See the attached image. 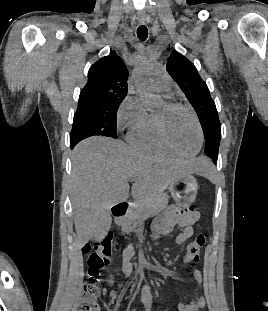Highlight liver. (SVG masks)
Returning <instances> with one entry per match:
<instances>
[{"mask_svg": "<svg viewBox=\"0 0 268 311\" xmlns=\"http://www.w3.org/2000/svg\"><path fill=\"white\" fill-rule=\"evenodd\" d=\"M208 162L168 158L138 152L124 142L94 136L81 141L72 152L71 201L79 247L96 233L100 219L114 205L131 195L142 200L161 195L186 173L203 174Z\"/></svg>", "mask_w": 268, "mask_h": 311, "instance_id": "obj_1", "label": "liver"}]
</instances>
